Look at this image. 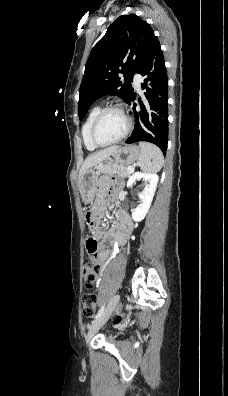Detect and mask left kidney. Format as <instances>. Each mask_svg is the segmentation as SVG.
Instances as JSON below:
<instances>
[{
	"instance_id": "obj_1",
	"label": "left kidney",
	"mask_w": 228,
	"mask_h": 396,
	"mask_svg": "<svg viewBox=\"0 0 228 396\" xmlns=\"http://www.w3.org/2000/svg\"><path fill=\"white\" fill-rule=\"evenodd\" d=\"M142 179L145 181V188L138 195L140 204L132 211V219L136 222L143 220L148 213L157 188L159 177L157 174L153 173L136 172L129 177L127 187H132L136 181H140Z\"/></svg>"
}]
</instances>
